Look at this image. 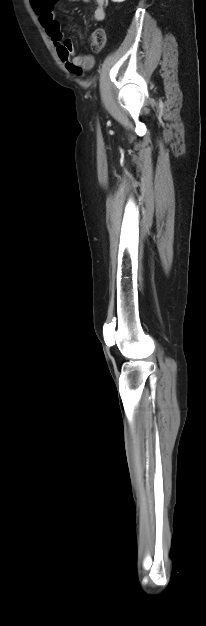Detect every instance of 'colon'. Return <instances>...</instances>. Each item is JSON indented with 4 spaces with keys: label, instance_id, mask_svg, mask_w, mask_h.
Segmentation results:
<instances>
[{
    "label": "colon",
    "instance_id": "colon-1",
    "mask_svg": "<svg viewBox=\"0 0 206 626\" xmlns=\"http://www.w3.org/2000/svg\"><path fill=\"white\" fill-rule=\"evenodd\" d=\"M106 43L105 31L101 28L95 29L90 37V45L94 51H100Z\"/></svg>",
    "mask_w": 206,
    "mask_h": 626
}]
</instances>
